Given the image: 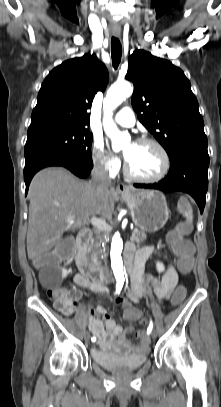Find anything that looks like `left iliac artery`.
Listing matches in <instances>:
<instances>
[{
  "label": "left iliac artery",
  "instance_id": "left-iliac-artery-1",
  "mask_svg": "<svg viewBox=\"0 0 221 407\" xmlns=\"http://www.w3.org/2000/svg\"><path fill=\"white\" fill-rule=\"evenodd\" d=\"M152 329H153V322H152V320H151V321H150L149 328H148V331L150 332Z\"/></svg>",
  "mask_w": 221,
  "mask_h": 407
}]
</instances>
